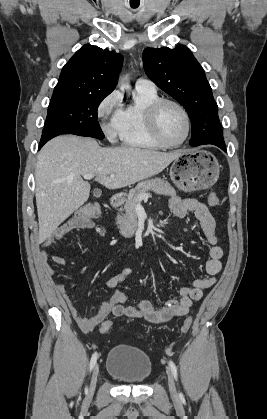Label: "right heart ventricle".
<instances>
[{"label":"right heart ventricle","instance_id":"1","mask_svg":"<svg viewBox=\"0 0 267 419\" xmlns=\"http://www.w3.org/2000/svg\"><path fill=\"white\" fill-rule=\"evenodd\" d=\"M159 98L156 90L136 89L133 102L120 109L118 136L123 145L148 150L162 148L150 135L146 123L148 107Z\"/></svg>","mask_w":267,"mask_h":419}]
</instances>
